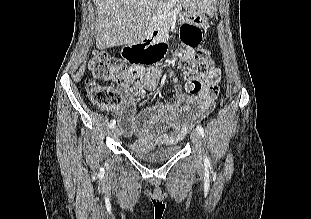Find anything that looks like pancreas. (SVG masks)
I'll return each mask as SVG.
<instances>
[{
    "instance_id": "cf45deb5",
    "label": "pancreas",
    "mask_w": 311,
    "mask_h": 219,
    "mask_svg": "<svg viewBox=\"0 0 311 219\" xmlns=\"http://www.w3.org/2000/svg\"><path fill=\"white\" fill-rule=\"evenodd\" d=\"M181 10L182 6L179 0H165L164 3L157 8L154 23H157V27L162 34L168 33L174 13H179Z\"/></svg>"
}]
</instances>
